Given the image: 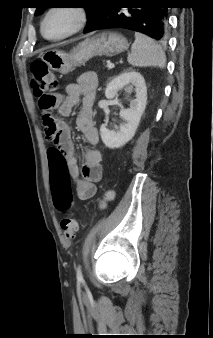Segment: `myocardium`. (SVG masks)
I'll return each instance as SVG.
<instances>
[{
  "label": "myocardium",
  "instance_id": "f54148a6",
  "mask_svg": "<svg viewBox=\"0 0 213 338\" xmlns=\"http://www.w3.org/2000/svg\"><path fill=\"white\" fill-rule=\"evenodd\" d=\"M58 10H67L69 11L70 13H72L74 15V18H75V22H74V25L73 27L59 35V36H54V37H51V36H48L46 35L45 33V24H46V21L48 19V17L54 13L55 11H58ZM88 21V13L87 11L83 8V7H55V8H50L43 16L42 18V21H41V34L42 36L44 37V39L48 40V41H59V40H63V39H66L68 37H71L73 35H75L76 33H78L81 29H83L86 25Z\"/></svg>",
  "mask_w": 213,
  "mask_h": 338
}]
</instances>
